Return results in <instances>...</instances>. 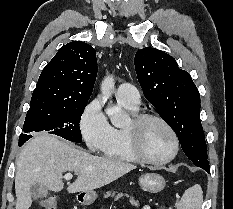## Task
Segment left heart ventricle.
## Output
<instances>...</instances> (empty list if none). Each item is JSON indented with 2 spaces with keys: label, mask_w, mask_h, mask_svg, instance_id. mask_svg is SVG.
<instances>
[{
  "label": "left heart ventricle",
  "mask_w": 233,
  "mask_h": 209,
  "mask_svg": "<svg viewBox=\"0 0 233 209\" xmlns=\"http://www.w3.org/2000/svg\"><path fill=\"white\" fill-rule=\"evenodd\" d=\"M141 147L149 158L162 160L172 153L173 140L162 124L148 121L142 128Z\"/></svg>",
  "instance_id": "b2bd125f"
}]
</instances>
